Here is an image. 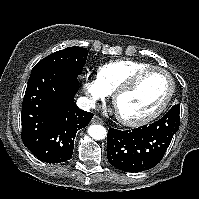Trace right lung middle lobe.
Instances as JSON below:
<instances>
[{
    "label": "right lung middle lobe",
    "instance_id": "obj_1",
    "mask_svg": "<svg viewBox=\"0 0 199 199\" xmlns=\"http://www.w3.org/2000/svg\"><path fill=\"white\" fill-rule=\"evenodd\" d=\"M88 51L82 47H68L50 54L40 60L32 69V72L41 69L61 68L70 71L78 77L81 74L83 66L86 63ZM31 72V73H32Z\"/></svg>",
    "mask_w": 199,
    "mask_h": 199
}]
</instances>
